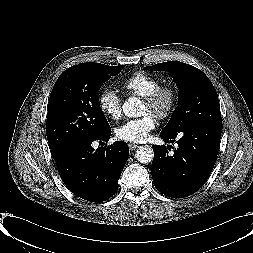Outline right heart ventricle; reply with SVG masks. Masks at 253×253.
I'll use <instances>...</instances> for the list:
<instances>
[{"instance_id": "1", "label": "right heart ventricle", "mask_w": 253, "mask_h": 253, "mask_svg": "<svg viewBox=\"0 0 253 253\" xmlns=\"http://www.w3.org/2000/svg\"><path fill=\"white\" fill-rule=\"evenodd\" d=\"M162 86V82L144 72H136L131 75L124 83L123 88L129 95L144 98Z\"/></svg>"}]
</instances>
